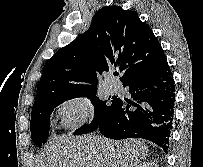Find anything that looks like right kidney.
<instances>
[{
	"label": "right kidney",
	"instance_id": "right-kidney-1",
	"mask_svg": "<svg viewBox=\"0 0 203 167\" xmlns=\"http://www.w3.org/2000/svg\"><path fill=\"white\" fill-rule=\"evenodd\" d=\"M136 167H157L154 162H143Z\"/></svg>",
	"mask_w": 203,
	"mask_h": 167
}]
</instances>
